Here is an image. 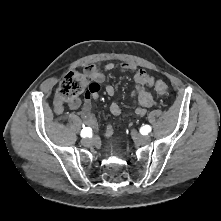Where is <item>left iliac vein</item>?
Listing matches in <instances>:
<instances>
[{
  "instance_id": "left-iliac-vein-1",
  "label": "left iliac vein",
  "mask_w": 221,
  "mask_h": 221,
  "mask_svg": "<svg viewBox=\"0 0 221 221\" xmlns=\"http://www.w3.org/2000/svg\"><path fill=\"white\" fill-rule=\"evenodd\" d=\"M132 137L137 144L145 145L151 141V137L148 135H140L136 131H131Z\"/></svg>"
}]
</instances>
